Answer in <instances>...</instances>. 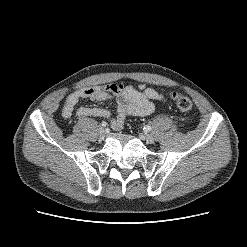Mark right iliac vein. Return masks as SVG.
Here are the masks:
<instances>
[{
  "label": "right iliac vein",
  "instance_id": "obj_1",
  "mask_svg": "<svg viewBox=\"0 0 247 247\" xmlns=\"http://www.w3.org/2000/svg\"><path fill=\"white\" fill-rule=\"evenodd\" d=\"M98 132H99V134H100V137H101V138H104L105 133H106L105 128L102 127V126H99Z\"/></svg>",
  "mask_w": 247,
  "mask_h": 247
}]
</instances>
